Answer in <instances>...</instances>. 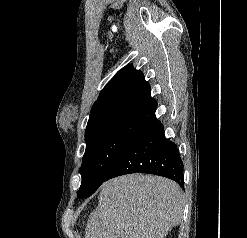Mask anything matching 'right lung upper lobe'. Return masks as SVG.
<instances>
[{"mask_svg":"<svg viewBox=\"0 0 247 238\" xmlns=\"http://www.w3.org/2000/svg\"><path fill=\"white\" fill-rule=\"evenodd\" d=\"M156 108L157 102L150 95V85L143 73L127 65L100 92L91 109L85 136L119 120L148 121L155 117Z\"/></svg>","mask_w":247,"mask_h":238,"instance_id":"cb5924a9","label":"right lung upper lobe"}]
</instances>
